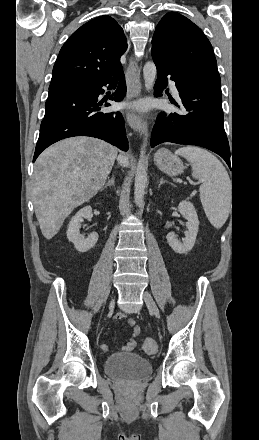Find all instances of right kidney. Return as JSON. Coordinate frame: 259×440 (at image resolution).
I'll return each mask as SVG.
<instances>
[{
    "instance_id": "1",
    "label": "right kidney",
    "mask_w": 259,
    "mask_h": 440,
    "mask_svg": "<svg viewBox=\"0 0 259 440\" xmlns=\"http://www.w3.org/2000/svg\"><path fill=\"white\" fill-rule=\"evenodd\" d=\"M92 208L90 206H86L80 209L74 217H72L68 230H67V238L70 242L74 244V247L77 251L84 253L93 248L98 241V233L93 232L90 236L85 238L80 234L81 223L84 219L92 218Z\"/></svg>"
}]
</instances>
